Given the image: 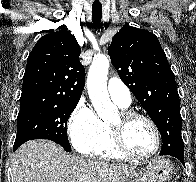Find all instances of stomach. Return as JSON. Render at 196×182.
<instances>
[{
	"mask_svg": "<svg viewBox=\"0 0 196 182\" xmlns=\"http://www.w3.org/2000/svg\"><path fill=\"white\" fill-rule=\"evenodd\" d=\"M173 165L164 158L152 159L146 167L130 175L124 182H165L173 173Z\"/></svg>",
	"mask_w": 196,
	"mask_h": 182,
	"instance_id": "1",
	"label": "stomach"
}]
</instances>
